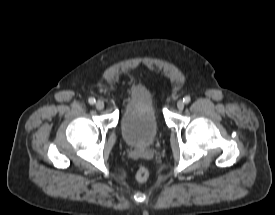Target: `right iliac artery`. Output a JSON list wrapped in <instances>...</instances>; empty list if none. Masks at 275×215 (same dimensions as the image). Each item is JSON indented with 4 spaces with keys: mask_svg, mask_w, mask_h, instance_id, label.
<instances>
[{
    "mask_svg": "<svg viewBox=\"0 0 275 215\" xmlns=\"http://www.w3.org/2000/svg\"><path fill=\"white\" fill-rule=\"evenodd\" d=\"M88 102H89V104L93 105V104H95L96 100H95V98L91 97V98H89Z\"/></svg>",
    "mask_w": 275,
    "mask_h": 215,
    "instance_id": "1",
    "label": "right iliac artery"
}]
</instances>
